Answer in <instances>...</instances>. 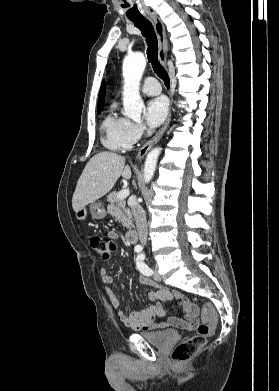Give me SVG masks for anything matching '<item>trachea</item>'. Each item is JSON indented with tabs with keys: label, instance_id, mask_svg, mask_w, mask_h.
I'll return each mask as SVG.
<instances>
[{
	"label": "trachea",
	"instance_id": "1",
	"mask_svg": "<svg viewBox=\"0 0 279 391\" xmlns=\"http://www.w3.org/2000/svg\"><path fill=\"white\" fill-rule=\"evenodd\" d=\"M134 25L140 29L147 42V57L152 64L154 72L164 81L167 88L170 87V80L167 71L158 61V40L152 23L146 18H130Z\"/></svg>",
	"mask_w": 279,
	"mask_h": 391
}]
</instances>
